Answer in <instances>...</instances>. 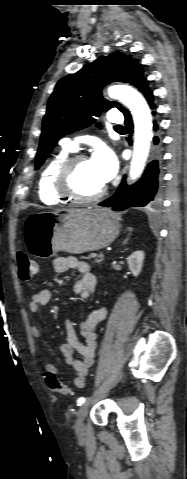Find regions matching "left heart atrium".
Wrapping results in <instances>:
<instances>
[{
    "mask_svg": "<svg viewBox=\"0 0 187 479\" xmlns=\"http://www.w3.org/2000/svg\"><path fill=\"white\" fill-rule=\"evenodd\" d=\"M90 161L104 184L109 182L117 172V159L114 153L105 145H98L95 148Z\"/></svg>",
    "mask_w": 187,
    "mask_h": 479,
    "instance_id": "left-heart-atrium-1",
    "label": "left heart atrium"
}]
</instances>
